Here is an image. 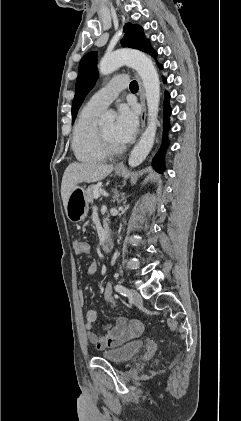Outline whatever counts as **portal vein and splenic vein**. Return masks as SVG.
I'll return each mask as SVG.
<instances>
[{
    "mask_svg": "<svg viewBox=\"0 0 241 421\" xmlns=\"http://www.w3.org/2000/svg\"><path fill=\"white\" fill-rule=\"evenodd\" d=\"M99 197L98 191L94 192V198L97 199Z\"/></svg>",
    "mask_w": 241,
    "mask_h": 421,
    "instance_id": "18ae733b",
    "label": "portal vein and splenic vein"
}]
</instances>
